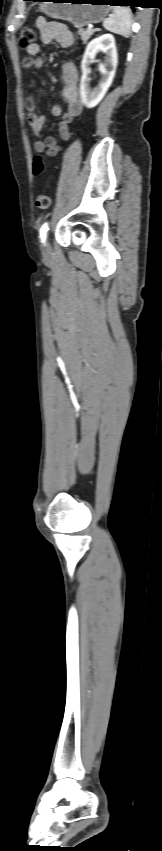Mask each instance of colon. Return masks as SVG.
Returning <instances> with one entry per match:
<instances>
[{"label":"colon","instance_id":"obj_1","mask_svg":"<svg viewBox=\"0 0 162 851\" xmlns=\"http://www.w3.org/2000/svg\"><path fill=\"white\" fill-rule=\"evenodd\" d=\"M37 41V32L33 27L26 26L21 30L19 38V46L28 48ZM44 170V163L40 156L35 157L33 162V173L39 176ZM51 205V200L46 194H40L37 198V206L41 209H48Z\"/></svg>","mask_w":162,"mask_h":851}]
</instances>
